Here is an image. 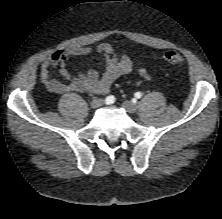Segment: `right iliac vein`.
Returning a JSON list of instances; mask_svg holds the SVG:
<instances>
[{
	"mask_svg": "<svg viewBox=\"0 0 222 219\" xmlns=\"http://www.w3.org/2000/svg\"><path fill=\"white\" fill-rule=\"evenodd\" d=\"M103 104V100L102 99H94L91 101L90 106L92 108H98Z\"/></svg>",
	"mask_w": 222,
	"mask_h": 219,
	"instance_id": "1",
	"label": "right iliac vein"
}]
</instances>
